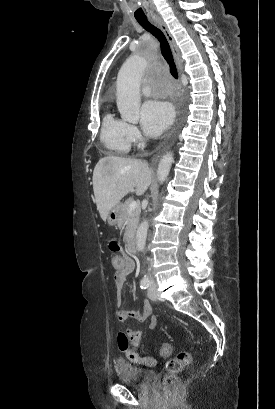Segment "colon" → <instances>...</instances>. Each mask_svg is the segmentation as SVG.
<instances>
[{
	"mask_svg": "<svg viewBox=\"0 0 275 409\" xmlns=\"http://www.w3.org/2000/svg\"><path fill=\"white\" fill-rule=\"evenodd\" d=\"M109 248L112 251H118L120 245L117 241L111 240L109 242ZM112 263L115 269H120L123 263V258L121 256H114L112 258ZM160 356L162 358H167L171 352L170 342L168 340H163L161 342V347L159 349ZM192 362V355L189 352H180L175 356L168 359L166 364V375L162 380V385L164 387L172 386L177 377L183 372V370L188 367Z\"/></svg>",
	"mask_w": 275,
	"mask_h": 409,
	"instance_id": "5ec220e1",
	"label": "colon"
}]
</instances>
